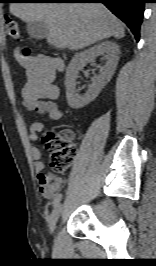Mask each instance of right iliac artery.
<instances>
[{"mask_svg": "<svg viewBox=\"0 0 156 266\" xmlns=\"http://www.w3.org/2000/svg\"><path fill=\"white\" fill-rule=\"evenodd\" d=\"M61 199H62V194L61 193L57 194L53 200V206L56 207L61 201Z\"/></svg>", "mask_w": 156, "mask_h": 266, "instance_id": "82829eb1", "label": "right iliac artery"}]
</instances>
